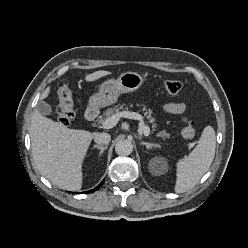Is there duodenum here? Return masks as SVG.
Returning <instances> with one entry per match:
<instances>
[{
	"instance_id": "obj_1",
	"label": "duodenum",
	"mask_w": 248,
	"mask_h": 248,
	"mask_svg": "<svg viewBox=\"0 0 248 248\" xmlns=\"http://www.w3.org/2000/svg\"><path fill=\"white\" fill-rule=\"evenodd\" d=\"M98 116V112L95 108H89L87 109V111L85 112V120L88 122H93Z\"/></svg>"
}]
</instances>
